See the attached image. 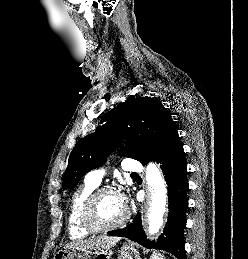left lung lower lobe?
I'll return each mask as SVG.
<instances>
[{
	"instance_id": "0a47b994",
	"label": "left lung lower lobe",
	"mask_w": 248,
	"mask_h": 259,
	"mask_svg": "<svg viewBox=\"0 0 248 259\" xmlns=\"http://www.w3.org/2000/svg\"><path fill=\"white\" fill-rule=\"evenodd\" d=\"M155 160L161 163L168 189V220L163 234L153 243L145 238L141 227V215L138 214L133 223L122 230L108 232L111 236L126 237L146 248L161 249L172 253L177 259H186L183 229L186 226L188 208V180L185 153L181 140L157 155Z\"/></svg>"
}]
</instances>
